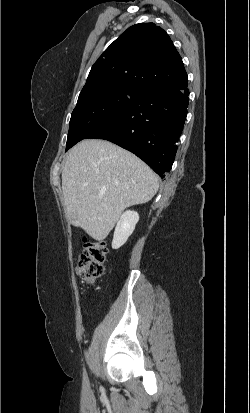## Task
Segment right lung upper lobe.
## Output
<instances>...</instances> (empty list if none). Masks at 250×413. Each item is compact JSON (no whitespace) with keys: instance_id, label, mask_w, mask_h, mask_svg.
Listing matches in <instances>:
<instances>
[{"instance_id":"cb5924a9","label":"right lung upper lobe","mask_w":250,"mask_h":413,"mask_svg":"<svg viewBox=\"0 0 250 413\" xmlns=\"http://www.w3.org/2000/svg\"><path fill=\"white\" fill-rule=\"evenodd\" d=\"M188 81L181 56L168 34L153 23L128 28L98 58L83 89L124 85L140 92Z\"/></svg>"}]
</instances>
